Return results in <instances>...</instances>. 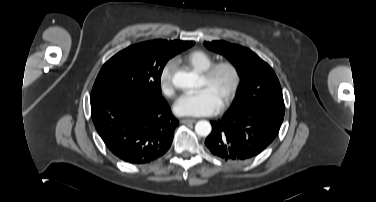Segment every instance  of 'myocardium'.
Instances as JSON below:
<instances>
[{
  "label": "myocardium",
  "mask_w": 376,
  "mask_h": 202,
  "mask_svg": "<svg viewBox=\"0 0 376 202\" xmlns=\"http://www.w3.org/2000/svg\"><path fill=\"white\" fill-rule=\"evenodd\" d=\"M223 70H227L231 74V85L220 105L221 110L227 108L231 104L240 88L242 81L240 69L233 61L224 60L212 64L208 69L202 72V78L210 83L215 79L218 73Z\"/></svg>",
  "instance_id": "myocardium-1"
}]
</instances>
